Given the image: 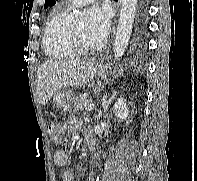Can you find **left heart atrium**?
I'll use <instances>...</instances> for the list:
<instances>
[{
    "label": "left heart atrium",
    "instance_id": "39dd6f15",
    "mask_svg": "<svg viewBox=\"0 0 197 181\" xmlns=\"http://www.w3.org/2000/svg\"><path fill=\"white\" fill-rule=\"evenodd\" d=\"M110 29V11L106 7L93 6L89 11L87 32L96 42H102Z\"/></svg>",
    "mask_w": 197,
    "mask_h": 181
}]
</instances>
